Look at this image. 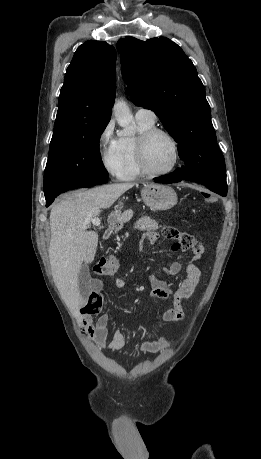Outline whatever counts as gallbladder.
Instances as JSON below:
<instances>
[{"label":"gallbladder","mask_w":261,"mask_h":459,"mask_svg":"<svg viewBox=\"0 0 261 459\" xmlns=\"http://www.w3.org/2000/svg\"><path fill=\"white\" fill-rule=\"evenodd\" d=\"M78 285L80 294L85 299L91 290V276L86 265H82L78 275Z\"/></svg>","instance_id":"obj_1"}]
</instances>
